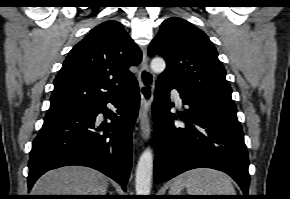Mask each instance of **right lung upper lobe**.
<instances>
[{
  "mask_svg": "<svg viewBox=\"0 0 290 199\" xmlns=\"http://www.w3.org/2000/svg\"><path fill=\"white\" fill-rule=\"evenodd\" d=\"M141 51L122 25L110 20L92 29L66 57L54 80L46 116L93 106L119 95L136 80L128 70Z\"/></svg>",
  "mask_w": 290,
  "mask_h": 199,
  "instance_id": "1",
  "label": "right lung upper lobe"
}]
</instances>
